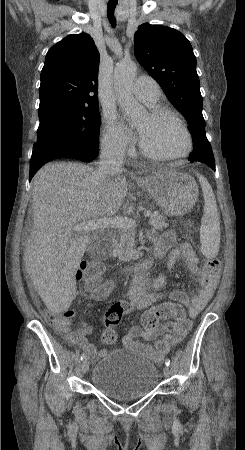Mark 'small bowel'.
<instances>
[{
    "instance_id": "obj_1",
    "label": "small bowel",
    "mask_w": 245,
    "mask_h": 450,
    "mask_svg": "<svg viewBox=\"0 0 245 450\" xmlns=\"http://www.w3.org/2000/svg\"><path fill=\"white\" fill-rule=\"evenodd\" d=\"M151 240L154 246L153 257L161 259L168 254L167 268L172 269L179 261H183L191 275L196 278L201 289L197 294L188 297L180 291H172L165 295L162 289L167 282V276L161 273L154 278L147 273H139L133 277L132 284L128 289V297L133 308L137 310L150 309L155 303L168 297L171 302L183 304L189 314V319L182 323L175 321H165L159 323L154 329L144 331L142 328H133L130 333L122 339V344L130 349H142L149 355L163 357L170 349L178 344L192 327L191 319L196 318L202 312L210 300L217 284L219 275L210 274L200 267V260L197 253L189 243H180L172 231H165L161 234H152ZM114 284L111 281H102L97 288H90L85 285L84 296L94 300H105L108 298ZM92 327L83 325L81 328L68 333L65 336L67 343L79 346L91 357L104 354L106 349L97 351L87 340V335L91 334ZM144 336L147 340L155 341L154 348L138 341L139 336Z\"/></svg>"
}]
</instances>
